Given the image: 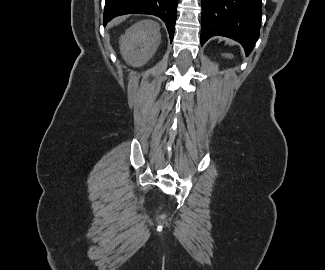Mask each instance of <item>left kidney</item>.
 Segmentation results:
<instances>
[{
	"mask_svg": "<svg viewBox=\"0 0 325 270\" xmlns=\"http://www.w3.org/2000/svg\"><path fill=\"white\" fill-rule=\"evenodd\" d=\"M222 56H225L227 58H231V55L230 54H223Z\"/></svg>",
	"mask_w": 325,
	"mask_h": 270,
	"instance_id": "1",
	"label": "left kidney"
}]
</instances>
